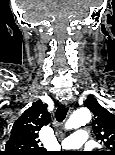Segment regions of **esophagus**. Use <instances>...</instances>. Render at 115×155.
I'll return each instance as SVG.
<instances>
[{
	"instance_id": "obj_1",
	"label": "esophagus",
	"mask_w": 115,
	"mask_h": 155,
	"mask_svg": "<svg viewBox=\"0 0 115 155\" xmlns=\"http://www.w3.org/2000/svg\"><path fill=\"white\" fill-rule=\"evenodd\" d=\"M71 103H72V101L70 100V101H68L67 104H66V105L69 107V111L72 110Z\"/></svg>"
}]
</instances>
